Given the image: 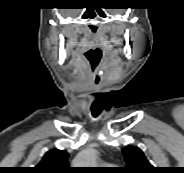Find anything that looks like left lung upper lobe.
Wrapping results in <instances>:
<instances>
[{"instance_id":"1","label":"left lung upper lobe","mask_w":184,"mask_h":173,"mask_svg":"<svg viewBox=\"0 0 184 173\" xmlns=\"http://www.w3.org/2000/svg\"><path fill=\"white\" fill-rule=\"evenodd\" d=\"M127 167L123 168L125 173H153V166L147 161L143 152L134 146L123 149Z\"/></svg>"}]
</instances>
